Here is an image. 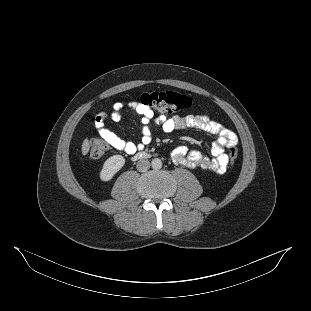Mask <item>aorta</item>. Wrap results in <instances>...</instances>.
I'll return each mask as SVG.
<instances>
[{"label":"aorta","mask_w":311,"mask_h":311,"mask_svg":"<svg viewBox=\"0 0 311 311\" xmlns=\"http://www.w3.org/2000/svg\"><path fill=\"white\" fill-rule=\"evenodd\" d=\"M151 166L153 169H160L162 167L161 159H159V158L152 159Z\"/></svg>","instance_id":"aorta-1"}]
</instances>
